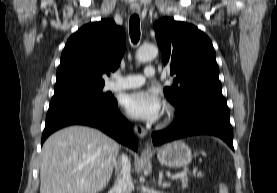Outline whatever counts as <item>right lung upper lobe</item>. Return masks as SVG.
I'll return each mask as SVG.
<instances>
[{
  "label": "right lung upper lobe",
  "instance_id": "cb5924a9",
  "mask_svg": "<svg viewBox=\"0 0 277 193\" xmlns=\"http://www.w3.org/2000/svg\"><path fill=\"white\" fill-rule=\"evenodd\" d=\"M125 47V32L112 19L84 25L65 45L54 94L104 85L102 75L118 68Z\"/></svg>",
  "mask_w": 277,
  "mask_h": 193
}]
</instances>
